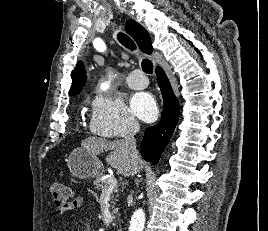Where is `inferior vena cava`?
<instances>
[{"label":"inferior vena cava","instance_id":"602c4592","mask_svg":"<svg viewBox=\"0 0 268 231\" xmlns=\"http://www.w3.org/2000/svg\"><path fill=\"white\" fill-rule=\"evenodd\" d=\"M137 132H139V124L137 122H132L123 140L124 145L129 152L131 161L134 163L140 160L139 153L136 148V139L134 137Z\"/></svg>","mask_w":268,"mask_h":231}]
</instances>
